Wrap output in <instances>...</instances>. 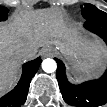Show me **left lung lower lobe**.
I'll list each match as a JSON object with an SVG mask.
<instances>
[{"mask_svg":"<svg viewBox=\"0 0 107 107\" xmlns=\"http://www.w3.org/2000/svg\"><path fill=\"white\" fill-rule=\"evenodd\" d=\"M84 26L107 43V14L87 19ZM55 60L58 64L56 78L66 103L78 107H97L107 103V70L98 80L73 85L66 78L62 61Z\"/></svg>","mask_w":107,"mask_h":107,"instance_id":"0a47b994","label":"left lung lower lobe"}]
</instances>
